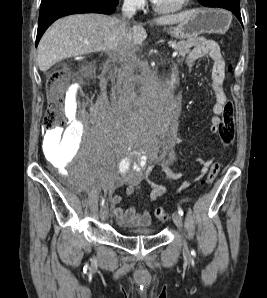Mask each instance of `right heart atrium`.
<instances>
[{
  "label": "right heart atrium",
  "mask_w": 267,
  "mask_h": 298,
  "mask_svg": "<svg viewBox=\"0 0 267 298\" xmlns=\"http://www.w3.org/2000/svg\"><path fill=\"white\" fill-rule=\"evenodd\" d=\"M125 2L132 7L139 8L144 5L145 0H125Z\"/></svg>",
  "instance_id": "1"
}]
</instances>
